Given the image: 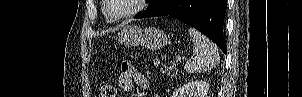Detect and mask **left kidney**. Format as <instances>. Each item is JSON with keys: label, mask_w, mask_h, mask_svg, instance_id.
<instances>
[{"label": "left kidney", "mask_w": 302, "mask_h": 97, "mask_svg": "<svg viewBox=\"0 0 302 97\" xmlns=\"http://www.w3.org/2000/svg\"><path fill=\"white\" fill-rule=\"evenodd\" d=\"M209 84L205 81H192L179 87L172 97H207Z\"/></svg>", "instance_id": "left-kidney-1"}]
</instances>
